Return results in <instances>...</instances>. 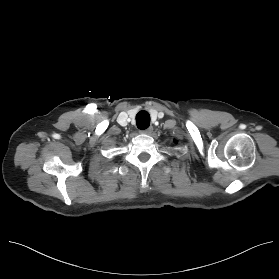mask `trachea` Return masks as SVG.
<instances>
[{"label":"trachea","instance_id":"trachea-1","mask_svg":"<svg viewBox=\"0 0 279 279\" xmlns=\"http://www.w3.org/2000/svg\"><path fill=\"white\" fill-rule=\"evenodd\" d=\"M136 123L139 129H146L150 125V115L147 111H140L136 115Z\"/></svg>","mask_w":279,"mask_h":279}]
</instances>
